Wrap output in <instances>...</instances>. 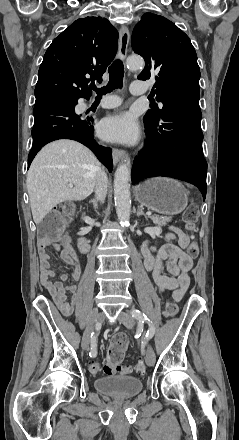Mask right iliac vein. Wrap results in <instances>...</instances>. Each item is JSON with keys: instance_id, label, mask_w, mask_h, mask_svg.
Listing matches in <instances>:
<instances>
[{"instance_id": "right-iliac-vein-1", "label": "right iliac vein", "mask_w": 239, "mask_h": 440, "mask_svg": "<svg viewBox=\"0 0 239 440\" xmlns=\"http://www.w3.org/2000/svg\"><path fill=\"white\" fill-rule=\"evenodd\" d=\"M104 317H105V314L103 312H100L97 315L93 316V318L88 323V325H87V327L85 329V332L83 334L82 343H81L82 348L84 350L88 349L91 333L94 330V326H95V319H97L98 321H101V320L104 319Z\"/></svg>"}]
</instances>
